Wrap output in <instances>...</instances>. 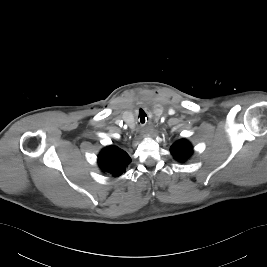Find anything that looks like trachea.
<instances>
[{
	"label": "trachea",
	"instance_id": "trachea-1",
	"mask_svg": "<svg viewBox=\"0 0 267 267\" xmlns=\"http://www.w3.org/2000/svg\"><path fill=\"white\" fill-rule=\"evenodd\" d=\"M138 120H139V123L140 124H145L146 123V120H148V117L146 115L145 112H140L139 115H138Z\"/></svg>",
	"mask_w": 267,
	"mask_h": 267
}]
</instances>
